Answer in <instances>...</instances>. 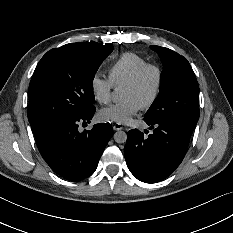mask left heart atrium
I'll list each match as a JSON object with an SVG mask.
<instances>
[{"label":"left heart atrium","mask_w":233,"mask_h":233,"mask_svg":"<svg viewBox=\"0 0 233 233\" xmlns=\"http://www.w3.org/2000/svg\"><path fill=\"white\" fill-rule=\"evenodd\" d=\"M142 104L134 98H128L120 103L99 111V118L103 121H112L116 123H127L142 108Z\"/></svg>","instance_id":"39dd6f15"}]
</instances>
